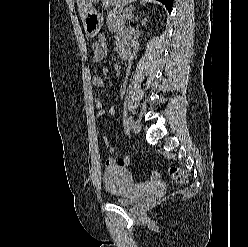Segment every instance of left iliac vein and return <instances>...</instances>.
<instances>
[{
	"instance_id": "4c4485c4",
	"label": "left iliac vein",
	"mask_w": 248,
	"mask_h": 247,
	"mask_svg": "<svg viewBox=\"0 0 248 247\" xmlns=\"http://www.w3.org/2000/svg\"><path fill=\"white\" fill-rule=\"evenodd\" d=\"M131 129H132V131H133L135 134L139 133L140 130H141V125H140V123H139L138 121H133V122L131 123Z\"/></svg>"
}]
</instances>
